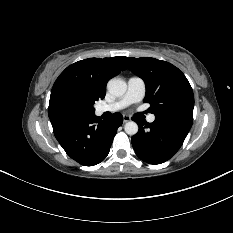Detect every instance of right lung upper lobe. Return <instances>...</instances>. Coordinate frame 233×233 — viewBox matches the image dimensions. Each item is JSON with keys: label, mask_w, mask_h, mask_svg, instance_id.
<instances>
[{"label": "right lung upper lobe", "mask_w": 233, "mask_h": 233, "mask_svg": "<svg viewBox=\"0 0 233 233\" xmlns=\"http://www.w3.org/2000/svg\"><path fill=\"white\" fill-rule=\"evenodd\" d=\"M122 59V57L89 58L68 66L53 85L49 101V118L56 116L52 111V103L62 92H76L94 102L103 99L107 81L126 69Z\"/></svg>", "instance_id": "obj_1"}]
</instances>
